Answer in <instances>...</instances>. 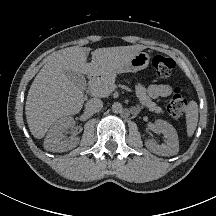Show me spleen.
Wrapping results in <instances>:
<instances>
[{
	"instance_id": "obj_1",
	"label": "spleen",
	"mask_w": 216,
	"mask_h": 216,
	"mask_svg": "<svg viewBox=\"0 0 216 216\" xmlns=\"http://www.w3.org/2000/svg\"><path fill=\"white\" fill-rule=\"evenodd\" d=\"M198 123V105L195 101H191L186 109V128L187 135L191 137Z\"/></svg>"
}]
</instances>
